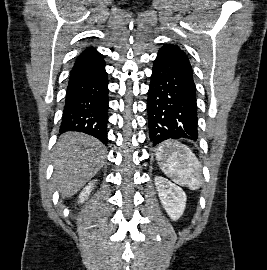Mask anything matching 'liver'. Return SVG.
<instances>
[{"label": "liver", "instance_id": "6515ba94", "mask_svg": "<svg viewBox=\"0 0 267 270\" xmlns=\"http://www.w3.org/2000/svg\"><path fill=\"white\" fill-rule=\"evenodd\" d=\"M106 149L91 136L68 132L60 136L55 150L53 183L61 196L76 194L104 164Z\"/></svg>", "mask_w": 267, "mask_h": 270}]
</instances>
